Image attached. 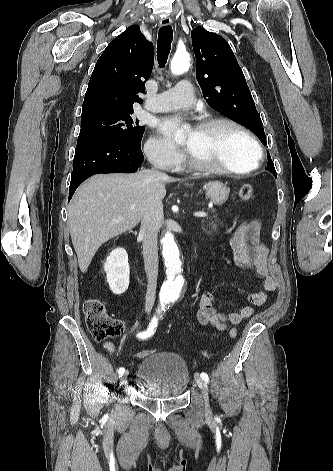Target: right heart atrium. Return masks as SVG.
Instances as JSON below:
<instances>
[{"label":"right heart atrium","instance_id":"obj_1","mask_svg":"<svg viewBox=\"0 0 333 471\" xmlns=\"http://www.w3.org/2000/svg\"><path fill=\"white\" fill-rule=\"evenodd\" d=\"M145 153L152 164L167 171L179 168L184 162L182 153L157 136L146 142Z\"/></svg>","mask_w":333,"mask_h":471}]
</instances>
